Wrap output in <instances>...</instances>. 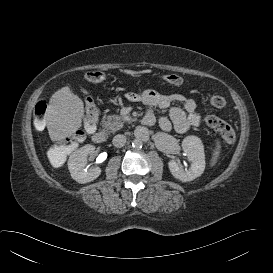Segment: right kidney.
<instances>
[{
    "label": "right kidney",
    "mask_w": 273,
    "mask_h": 273,
    "mask_svg": "<svg viewBox=\"0 0 273 273\" xmlns=\"http://www.w3.org/2000/svg\"><path fill=\"white\" fill-rule=\"evenodd\" d=\"M94 150L95 147L93 145H85L73 152L68 159V169L71 177L78 183L84 184L91 182L101 174L99 167H93L89 170L85 169L87 157L94 153Z\"/></svg>",
    "instance_id": "1"
}]
</instances>
